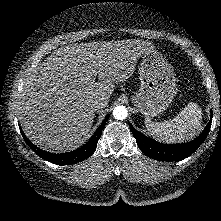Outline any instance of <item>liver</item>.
Listing matches in <instances>:
<instances>
[{
  "label": "liver",
  "instance_id": "liver-1",
  "mask_svg": "<svg viewBox=\"0 0 221 221\" xmlns=\"http://www.w3.org/2000/svg\"><path fill=\"white\" fill-rule=\"evenodd\" d=\"M154 48L144 40H121L57 49L24 81L19 120L26 136L44 150L77 147L92 127L93 102L108 103L115 84L126 81Z\"/></svg>",
  "mask_w": 221,
  "mask_h": 221
}]
</instances>
